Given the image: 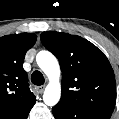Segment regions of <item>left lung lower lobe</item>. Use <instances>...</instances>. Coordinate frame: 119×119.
Returning <instances> with one entry per match:
<instances>
[{
    "mask_svg": "<svg viewBox=\"0 0 119 119\" xmlns=\"http://www.w3.org/2000/svg\"><path fill=\"white\" fill-rule=\"evenodd\" d=\"M55 119H110L111 114L81 111L71 106L57 104L52 108Z\"/></svg>",
    "mask_w": 119,
    "mask_h": 119,
    "instance_id": "obj_1",
    "label": "left lung lower lobe"
}]
</instances>
